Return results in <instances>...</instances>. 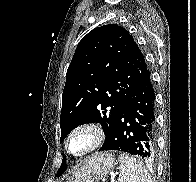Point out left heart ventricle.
<instances>
[{"instance_id":"1","label":"left heart ventricle","mask_w":196,"mask_h":182,"mask_svg":"<svg viewBox=\"0 0 196 182\" xmlns=\"http://www.w3.org/2000/svg\"><path fill=\"white\" fill-rule=\"evenodd\" d=\"M89 144V137L86 134H79L73 137L70 142L72 152L79 153L83 151Z\"/></svg>"}]
</instances>
